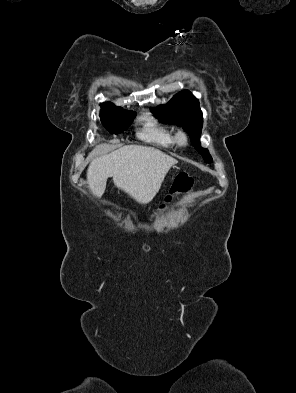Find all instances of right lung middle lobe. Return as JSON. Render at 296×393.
<instances>
[{"label":"right lung middle lobe","mask_w":296,"mask_h":393,"mask_svg":"<svg viewBox=\"0 0 296 393\" xmlns=\"http://www.w3.org/2000/svg\"><path fill=\"white\" fill-rule=\"evenodd\" d=\"M135 116V112L124 110L112 103L101 105L100 120L103 126L113 134H119L126 130Z\"/></svg>","instance_id":"right-lung-middle-lobe-1"}]
</instances>
